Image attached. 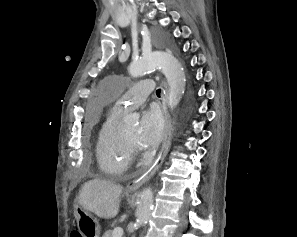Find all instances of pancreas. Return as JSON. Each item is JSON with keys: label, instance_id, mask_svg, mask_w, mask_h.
Instances as JSON below:
<instances>
[{"label": "pancreas", "instance_id": "pancreas-1", "mask_svg": "<svg viewBox=\"0 0 297 237\" xmlns=\"http://www.w3.org/2000/svg\"><path fill=\"white\" fill-rule=\"evenodd\" d=\"M102 237H113V231L112 230L106 231Z\"/></svg>", "mask_w": 297, "mask_h": 237}]
</instances>
